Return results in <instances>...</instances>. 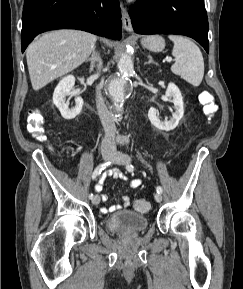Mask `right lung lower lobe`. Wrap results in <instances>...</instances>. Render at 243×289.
<instances>
[{"mask_svg": "<svg viewBox=\"0 0 243 289\" xmlns=\"http://www.w3.org/2000/svg\"><path fill=\"white\" fill-rule=\"evenodd\" d=\"M62 28L120 39L122 21L118 0H25L22 52L38 34Z\"/></svg>", "mask_w": 243, "mask_h": 289, "instance_id": "right-lung-lower-lobe-1", "label": "right lung lower lobe"}]
</instances>
